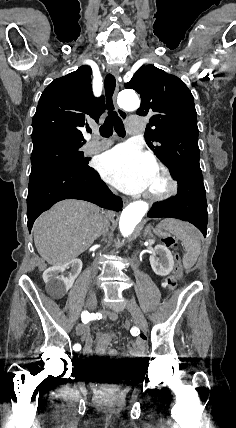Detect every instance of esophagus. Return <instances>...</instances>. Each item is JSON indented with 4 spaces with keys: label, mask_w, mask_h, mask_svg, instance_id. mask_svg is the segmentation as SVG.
Listing matches in <instances>:
<instances>
[{
    "label": "esophagus",
    "mask_w": 236,
    "mask_h": 428,
    "mask_svg": "<svg viewBox=\"0 0 236 428\" xmlns=\"http://www.w3.org/2000/svg\"><path fill=\"white\" fill-rule=\"evenodd\" d=\"M110 72L112 73V75H114V77H118L119 76V68L117 65H112L110 67H108ZM119 92V85L117 84L115 92L113 94V103L115 105V109L116 112L118 113L119 117L122 118L123 120H125L127 118V114L124 110H122L120 107H118L117 105V95Z\"/></svg>",
    "instance_id": "obj_1"
}]
</instances>
